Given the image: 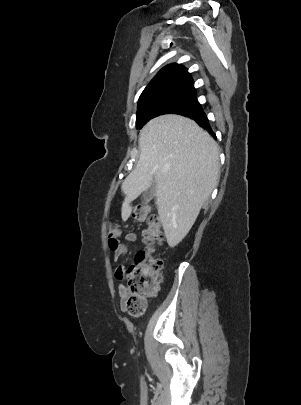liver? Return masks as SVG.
Instances as JSON below:
<instances>
[{"label":"liver","mask_w":301,"mask_h":405,"mask_svg":"<svg viewBox=\"0 0 301 405\" xmlns=\"http://www.w3.org/2000/svg\"><path fill=\"white\" fill-rule=\"evenodd\" d=\"M140 157L122 183V219L130 203L156 182V205L170 247L190 231L217 185L219 148L195 121L180 115L150 120L140 131Z\"/></svg>","instance_id":"obj_1"}]
</instances>
